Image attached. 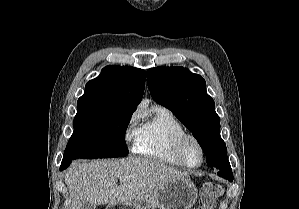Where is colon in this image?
I'll return each mask as SVG.
<instances>
[{
    "label": "colon",
    "mask_w": 299,
    "mask_h": 209,
    "mask_svg": "<svg viewBox=\"0 0 299 209\" xmlns=\"http://www.w3.org/2000/svg\"><path fill=\"white\" fill-rule=\"evenodd\" d=\"M223 193V185L213 182L204 183L202 186L203 206L200 209H212Z\"/></svg>",
    "instance_id": "obj_1"
}]
</instances>
